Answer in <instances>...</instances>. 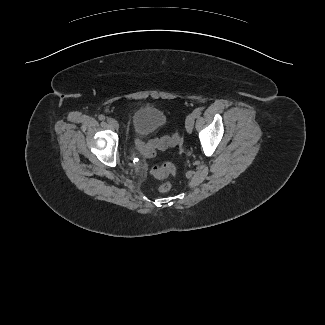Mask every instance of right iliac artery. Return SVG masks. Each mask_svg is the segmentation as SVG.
<instances>
[{
    "instance_id": "82829eb1",
    "label": "right iliac artery",
    "mask_w": 325,
    "mask_h": 325,
    "mask_svg": "<svg viewBox=\"0 0 325 325\" xmlns=\"http://www.w3.org/2000/svg\"><path fill=\"white\" fill-rule=\"evenodd\" d=\"M98 119L101 120V121H104L105 120V116L104 115H99L98 116Z\"/></svg>"
}]
</instances>
